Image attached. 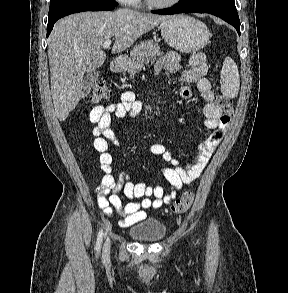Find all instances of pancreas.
I'll return each instance as SVG.
<instances>
[{"mask_svg": "<svg viewBox=\"0 0 288 293\" xmlns=\"http://www.w3.org/2000/svg\"><path fill=\"white\" fill-rule=\"evenodd\" d=\"M158 43L152 40L143 41L136 45L130 52V57L127 59V71L130 76H134L144 66V63H149L150 60L155 61L156 57L162 56Z\"/></svg>", "mask_w": 288, "mask_h": 293, "instance_id": "pancreas-1", "label": "pancreas"}]
</instances>
